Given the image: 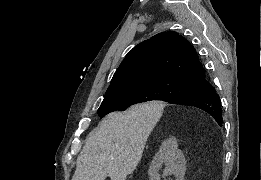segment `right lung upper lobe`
<instances>
[{
	"mask_svg": "<svg viewBox=\"0 0 261 180\" xmlns=\"http://www.w3.org/2000/svg\"><path fill=\"white\" fill-rule=\"evenodd\" d=\"M202 83L205 71L193 46L176 32H162L135 46L115 72L106 93L159 80Z\"/></svg>",
	"mask_w": 261,
	"mask_h": 180,
	"instance_id": "cb5924a9",
	"label": "right lung upper lobe"
}]
</instances>
